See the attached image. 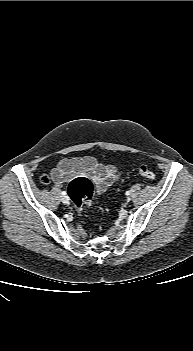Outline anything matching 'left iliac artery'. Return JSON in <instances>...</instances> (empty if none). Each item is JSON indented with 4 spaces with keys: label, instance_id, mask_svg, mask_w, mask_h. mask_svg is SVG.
I'll return each instance as SVG.
<instances>
[{
    "label": "left iliac artery",
    "instance_id": "1",
    "mask_svg": "<svg viewBox=\"0 0 193 351\" xmlns=\"http://www.w3.org/2000/svg\"><path fill=\"white\" fill-rule=\"evenodd\" d=\"M125 194H126L127 196H128V195H130V191H126V193H125Z\"/></svg>",
    "mask_w": 193,
    "mask_h": 351
}]
</instances>
